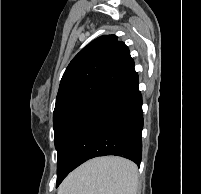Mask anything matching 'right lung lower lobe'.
<instances>
[{"label":"right lung lower lobe","instance_id":"98d812e1","mask_svg":"<svg viewBox=\"0 0 201 194\" xmlns=\"http://www.w3.org/2000/svg\"><path fill=\"white\" fill-rule=\"evenodd\" d=\"M138 84L134 71L70 121L57 148L56 187L74 168L96 156H122L140 165L143 116Z\"/></svg>","mask_w":201,"mask_h":194}]
</instances>
